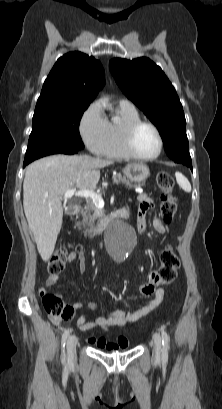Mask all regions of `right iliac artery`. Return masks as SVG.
Instances as JSON below:
<instances>
[{"mask_svg":"<svg viewBox=\"0 0 222 409\" xmlns=\"http://www.w3.org/2000/svg\"><path fill=\"white\" fill-rule=\"evenodd\" d=\"M70 332H71V329H67V330L63 333V335H62V340H61V346H62L61 360H62V362H64V363L66 362V355H65L64 347H65V343H66V340H67V338H68Z\"/></svg>","mask_w":222,"mask_h":409,"instance_id":"1","label":"right iliac artery"}]
</instances>
